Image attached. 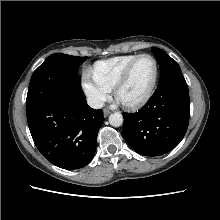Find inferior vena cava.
Returning <instances> with one entry per match:
<instances>
[{"instance_id":"inferior-vena-cava-1","label":"inferior vena cava","mask_w":220,"mask_h":220,"mask_svg":"<svg viewBox=\"0 0 220 220\" xmlns=\"http://www.w3.org/2000/svg\"><path fill=\"white\" fill-rule=\"evenodd\" d=\"M87 102H88V105L94 109H100L104 105V102L97 98H88Z\"/></svg>"}]
</instances>
